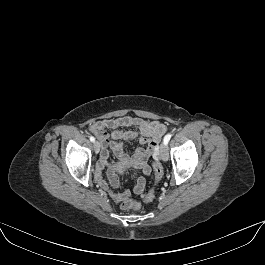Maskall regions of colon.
<instances>
[{"instance_id":"1","label":"colon","mask_w":265,"mask_h":265,"mask_svg":"<svg viewBox=\"0 0 265 265\" xmlns=\"http://www.w3.org/2000/svg\"><path fill=\"white\" fill-rule=\"evenodd\" d=\"M153 169H154L155 182L158 183L163 176V167L159 162L158 158H156L153 163ZM154 197H155V191L152 189L144 195L143 200L146 203H150L153 201ZM121 207L126 210L129 209L138 210L140 209L141 205L140 203L132 199L126 198L121 201Z\"/></svg>"}]
</instances>
